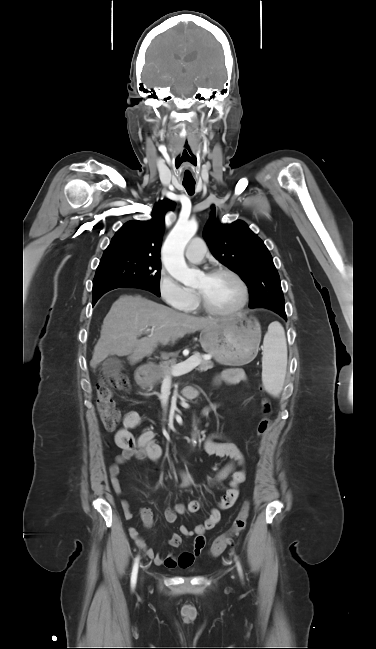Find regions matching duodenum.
Instances as JSON below:
<instances>
[{"label": "duodenum", "instance_id": "1", "mask_svg": "<svg viewBox=\"0 0 376 649\" xmlns=\"http://www.w3.org/2000/svg\"><path fill=\"white\" fill-rule=\"evenodd\" d=\"M148 373H149L148 367L144 366V367L139 368L138 371H137V376H136L137 382L139 384L145 383L147 378H148Z\"/></svg>", "mask_w": 376, "mask_h": 649}]
</instances>
